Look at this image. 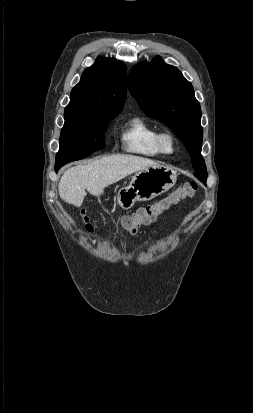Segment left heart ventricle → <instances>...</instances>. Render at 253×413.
I'll list each match as a JSON object with an SVG mask.
<instances>
[{
    "label": "left heart ventricle",
    "instance_id": "obj_1",
    "mask_svg": "<svg viewBox=\"0 0 253 413\" xmlns=\"http://www.w3.org/2000/svg\"><path fill=\"white\" fill-rule=\"evenodd\" d=\"M167 147H169V143H167Z\"/></svg>",
    "mask_w": 253,
    "mask_h": 413
}]
</instances>
